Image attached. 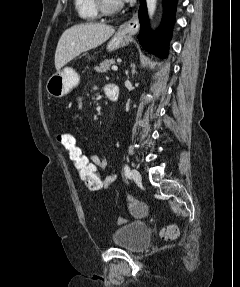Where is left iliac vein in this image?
Segmentation results:
<instances>
[{
	"mask_svg": "<svg viewBox=\"0 0 240 287\" xmlns=\"http://www.w3.org/2000/svg\"><path fill=\"white\" fill-rule=\"evenodd\" d=\"M131 176H132V179L135 182H140L141 181V175H140V173H139V171L137 169H132Z\"/></svg>",
	"mask_w": 240,
	"mask_h": 287,
	"instance_id": "1",
	"label": "left iliac vein"
}]
</instances>
